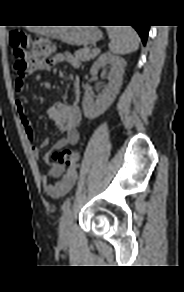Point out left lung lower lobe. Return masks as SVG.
Returning a JSON list of instances; mask_svg holds the SVG:
<instances>
[{"instance_id":"left-lung-lower-lobe-1","label":"left lung lower lobe","mask_w":184,"mask_h":292,"mask_svg":"<svg viewBox=\"0 0 184 292\" xmlns=\"http://www.w3.org/2000/svg\"><path fill=\"white\" fill-rule=\"evenodd\" d=\"M133 27L136 29V31L138 32V34L140 35L143 44H146V39L148 36V31H149V26L146 25H133Z\"/></svg>"}]
</instances>
